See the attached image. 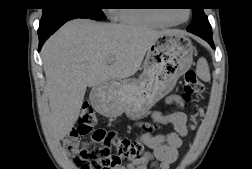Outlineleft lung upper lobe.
Returning a JSON list of instances; mask_svg holds the SVG:
<instances>
[{"label": "left lung upper lobe", "instance_id": "1", "mask_svg": "<svg viewBox=\"0 0 252 169\" xmlns=\"http://www.w3.org/2000/svg\"><path fill=\"white\" fill-rule=\"evenodd\" d=\"M192 14H193V20L192 23L188 26L187 30L199 31L204 32L205 34L212 35V29L206 15L203 12V8L199 6L193 8Z\"/></svg>", "mask_w": 252, "mask_h": 169}]
</instances>
